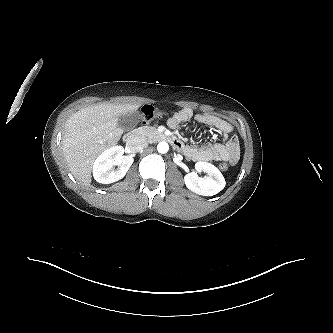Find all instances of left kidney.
<instances>
[{"label": "left kidney", "mask_w": 333, "mask_h": 333, "mask_svg": "<svg viewBox=\"0 0 333 333\" xmlns=\"http://www.w3.org/2000/svg\"><path fill=\"white\" fill-rule=\"evenodd\" d=\"M195 169L196 172L188 173L184 177L189 190L203 196H213L223 190L226 182L217 167L208 162L199 161L196 162ZM197 172H205L207 176L199 177Z\"/></svg>", "instance_id": "left-kidney-1"}]
</instances>
